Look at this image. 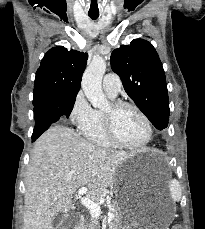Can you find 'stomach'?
<instances>
[{
    "mask_svg": "<svg viewBox=\"0 0 205 229\" xmlns=\"http://www.w3.org/2000/svg\"><path fill=\"white\" fill-rule=\"evenodd\" d=\"M150 150L134 154L126 160L115 175L121 223L120 229H167L174 217V206L159 203L154 206L137 192L142 177L143 158Z\"/></svg>",
    "mask_w": 205,
    "mask_h": 229,
    "instance_id": "0dacf381",
    "label": "stomach"
}]
</instances>
